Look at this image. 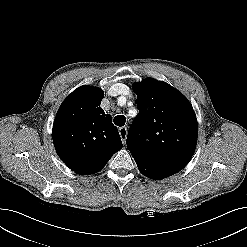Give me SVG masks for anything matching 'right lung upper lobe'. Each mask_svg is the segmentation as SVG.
I'll return each mask as SVG.
<instances>
[{"instance_id": "obj_1", "label": "right lung upper lobe", "mask_w": 247, "mask_h": 247, "mask_svg": "<svg viewBox=\"0 0 247 247\" xmlns=\"http://www.w3.org/2000/svg\"><path fill=\"white\" fill-rule=\"evenodd\" d=\"M101 89L82 86L60 106L53 124V143L61 160L80 175L100 171L122 148L118 129L100 103Z\"/></svg>"}]
</instances>
